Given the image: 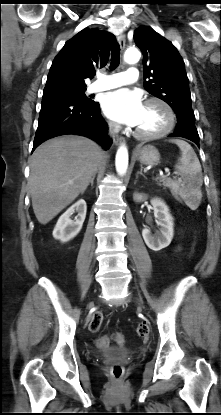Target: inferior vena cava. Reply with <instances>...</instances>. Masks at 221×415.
<instances>
[{
	"label": "inferior vena cava",
	"instance_id": "inferior-vena-cava-1",
	"mask_svg": "<svg viewBox=\"0 0 221 415\" xmlns=\"http://www.w3.org/2000/svg\"><path fill=\"white\" fill-rule=\"evenodd\" d=\"M120 130V125L117 123L110 122L109 123V134L112 135L114 133H118Z\"/></svg>",
	"mask_w": 221,
	"mask_h": 415
}]
</instances>
